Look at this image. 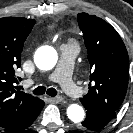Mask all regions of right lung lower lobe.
Returning a JSON list of instances; mask_svg holds the SVG:
<instances>
[{
    "label": "right lung lower lobe",
    "mask_w": 133,
    "mask_h": 133,
    "mask_svg": "<svg viewBox=\"0 0 133 133\" xmlns=\"http://www.w3.org/2000/svg\"><path fill=\"white\" fill-rule=\"evenodd\" d=\"M43 107L44 102L41 99H38V101L29 106L14 122L3 129L7 133H17L26 129L34 122Z\"/></svg>",
    "instance_id": "98d812e1"
}]
</instances>
